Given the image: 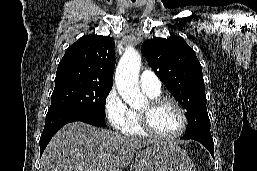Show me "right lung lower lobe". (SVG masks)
Segmentation results:
<instances>
[{"mask_svg": "<svg viewBox=\"0 0 257 171\" xmlns=\"http://www.w3.org/2000/svg\"><path fill=\"white\" fill-rule=\"evenodd\" d=\"M82 121L97 127L105 126L104 119L78 110H64L46 115L45 126L40 137V156L54 134L65 124Z\"/></svg>", "mask_w": 257, "mask_h": 171, "instance_id": "1", "label": "right lung lower lobe"}]
</instances>
